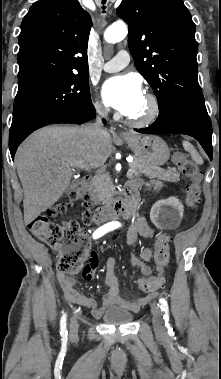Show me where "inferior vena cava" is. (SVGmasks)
<instances>
[{"label": "inferior vena cava", "instance_id": "obj_1", "mask_svg": "<svg viewBox=\"0 0 221 379\" xmlns=\"http://www.w3.org/2000/svg\"><path fill=\"white\" fill-rule=\"evenodd\" d=\"M100 109H101V107L97 106V111L99 113H101V115L103 117L107 116L108 109H105L102 112L100 111ZM85 132L88 133L91 136H98V135L103 134L105 132V130L103 129L101 118L99 116H97L94 123H92L89 126L85 127Z\"/></svg>", "mask_w": 221, "mask_h": 379}]
</instances>
